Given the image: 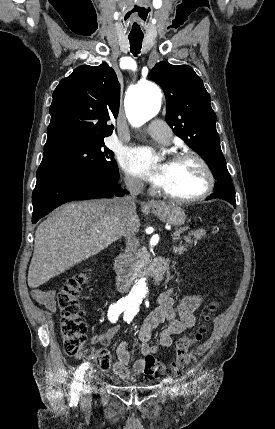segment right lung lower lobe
Segmentation results:
<instances>
[{
	"instance_id": "98d812e1",
	"label": "right lung lower lobe",
	"mask_w": 275,
	"mask_h": 429,
	"mask_svg": "<svg viewBox=\"0 0 275 429\" xmlns=\"http://www.w3.org/2000/svg\"><path fill=\"white\" fill-rule=\"evenodd\" d=\"M118 180L98 174L69 175L35 187L32 195V222L36 223L69 201L123 196L124 191Z\"/></svg>"
}]
</instances>
